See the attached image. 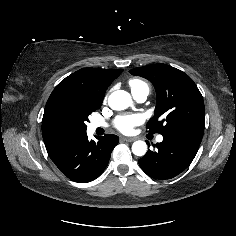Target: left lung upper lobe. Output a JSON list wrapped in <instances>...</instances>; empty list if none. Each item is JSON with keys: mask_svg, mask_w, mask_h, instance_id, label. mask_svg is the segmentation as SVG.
Masks as SVG:
<instances>
[{"mask_svg": "<svg viewBox=\"0 0 236 236\" xmlns=\"http://www.w3.org/2000/svg\"><path fill=\"white\" fill-rule=\"evenodd\" d=\"M132 75L142 76L154 85L157 102L154 116L146 127L162 135L185 130H204L205 107L193 80L183 71L165 64L134 68Z\"/></svg>", "mask_w": 236, "mask_h": 236, "instance_id": "left-lung-upper-lobe-1", "label": "left lung upper lobe"}]
</instances>
